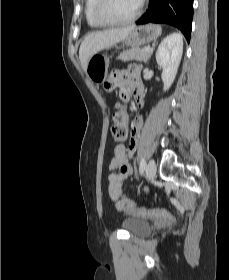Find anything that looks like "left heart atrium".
Wrapping results in <instances>:
<instances>
[{
  "instance_id": "left-heart-atrium-1",
  "label": "left heart atrium",
  "mask_w": 229,
  "mask_h": 280,
  "mask_svg": "<svg viewBox=\"0 0 229 280\" xmlns=\"http://www.w3.org/2000/svg\"><path fill=\"white\" fill-rule=\"evenodd\" d=\"M139 1V3H141V1H143V0H138Z\"/></svg>"
}]
</instances>
